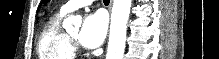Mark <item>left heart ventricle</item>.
Returning a JSON list of instances; mask_svg holds the SVG:
<instances>
[{"mask_svg": "<svg viewBox=\"0 0 219 59\" xmlns=\"http://www.w3.org/2000/svg\"><path fill=\"white\" fill-rule=\"evenodd\" d=\"M70 36H72L73 38L77 39L79 36V31H74L72 33H70Z\"/></svg>", "mask_w": 219, "mask_h": 59, "instance_id": "obj_1", "label": "left heart ventricle"}]
</instances>
